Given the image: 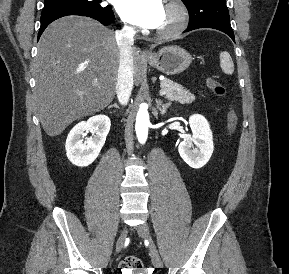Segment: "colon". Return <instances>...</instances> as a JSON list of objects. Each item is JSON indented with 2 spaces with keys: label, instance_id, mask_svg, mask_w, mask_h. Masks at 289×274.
<instances>
[{
  "label": "colon",
  "instance_id": "colon-1",
  "mask_svg": "<svg viewBox=\"0 0 289 274\" xmlns=\"http://www.w3.org/2000/svg\"><path fill=\"white\" fill-rule=\"evenodd\" d=\"M206 85L213 92L214 95L221 97V98L226 96L225 87L217 80L211 77H208L206 79ZM226 119H227L228 132L232 134L235 132L237 128V124H238V117L233 108H229ZM120 268L125 273L129 271H142L143 264L138 257L127 256L120 262Z\"/></svg>",
  "mask_w": 289,
  "mask_h": 274
}]
</instances>
